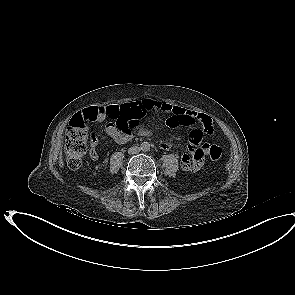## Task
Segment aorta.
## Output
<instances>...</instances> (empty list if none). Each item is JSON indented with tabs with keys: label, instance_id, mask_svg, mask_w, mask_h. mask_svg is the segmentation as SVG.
Listing matches in <instances>:
<instances>
[{
	"label": "aorta",
	"instance_id": "762f6f07",
	"mask_svg": "<svg viewBox=\"0 0 295 295\" xmlns=\"http://www.w3.org/2000/svg\"><path fill=\"white\" fill-rule=\"evenodd\" d=\"M141 150L142 151H149L150 150V144L148 142H143L141 144Z\"/></svg>",
	"mask_w": 295,
	"mask_h": 295
}]
</instances>
